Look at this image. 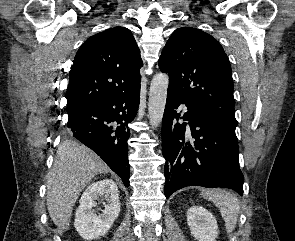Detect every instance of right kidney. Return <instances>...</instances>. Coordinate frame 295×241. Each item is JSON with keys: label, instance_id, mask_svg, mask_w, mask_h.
<instances>
[{"label": "right kidney", "instance_id": "right-kidney-1", "mask_svg": "<svg viewBox=\"0 0 295 241\" xmlns=\"http://www.w3.org/2000/svg\"><path fill=\"white\" fill-rule=\"evenodd\" d=\"M102 198L105 208L102 214L92 209L98 198ZM76 210L74 226L80 236L86 240L104 236L112 227L120 212L118 188L112 179H104L90 184L80 199Z\"/></svg>", "mask_w": 295, "mask_h": 241}]
</instances>
